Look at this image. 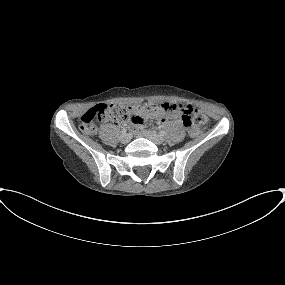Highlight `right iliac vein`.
<instances>
[{
    "mask_svg": "<svg viewBox=\"0 0 285 285\" xmlns=\"http://www.w3.org/2000/svg\"><path fill=\"white\" fill-rule=\"evenodd\" d=\"M120 141L122 144H127L130 142V136L128 134H124L121 136Z\"/></svg>",
    "mask_w": 285,
    "mask_h": 285,
    "instance_id": "obj_1",
    "label": "right iliac vein"
}]
</instances>
